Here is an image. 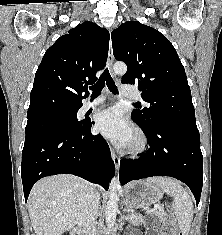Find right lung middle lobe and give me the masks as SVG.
<instances>
[{
    "label": "right lung middle lobe",
    "mask_w": 222,
    "mask_h": 235,
    "mask_svg": "<svg viewBox=\"0 0 222 235\" xmlns=\"http://www.w3.org/2000/svg\"><path fill=\"white\" fill-rule=\"evenodd\" d=\"M77 111V105H70L60 108L49 115L28 119L25 128V140L44 132L52 130H70L77 127L82 123V121H78L76 117Z\"/></svg>",
    "instance_id": "dd1d6c3e"
}]
</instances>
